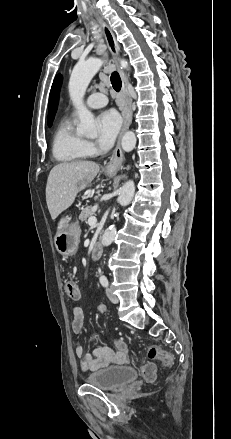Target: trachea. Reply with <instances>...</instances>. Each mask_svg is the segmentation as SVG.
Returning a JSON list of instances; mask_svg holds the SVG:
<instances>
[{"mask_svg": "<svg viewBox=\"0 0 231 439\" xmlns=\"http://www.w3.org/2000/svg\"><path fill=\"white\" fill-rule=\"evenodd\" d=\"M111 83H112L114 90L119 92L121 89L122 82H121V78H120L118 72H113L111 74Z\"/></svg>", "mask_w": 231, "mask_h": 439, "instance_id": "trachea-1", "label": "trachea"}]
</instances>
